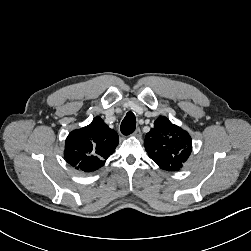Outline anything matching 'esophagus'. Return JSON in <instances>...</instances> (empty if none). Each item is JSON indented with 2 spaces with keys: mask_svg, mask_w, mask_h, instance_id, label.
Here are the masks:
<instances>
[{
  "mask_svg": "<svg viewBox=\"0 0 251 251\" xmlns=\"http://www.w3.org/2000/svg\"><path fill=\"white\" fill-rule=\"evenodd\" d=\"M132 135H133L134 137L140 138L141 135H142L140 128H137V129L132 133Z\"/></svg>",
  "mask_w": 251,
  "mask_h": 251,
  "instance_id": "obj_1",
  "label": "esophagus"
}]
</instances>
